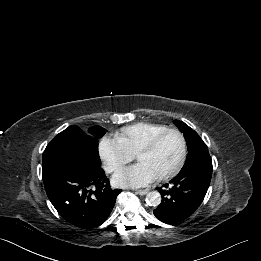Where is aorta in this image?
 <instances>
[{
  "mask_svg": "<svg viewBox=\"0 0 261 261\" xmlns=\"http://www.w3.org/2000/svg\"><path fill=\"white\" fill-rule=\"evenodd\" d=\"M146 203L150 206H158L161 203V195L158 191H151L146 195Z\"/></svg>",
  "mask_w": 261,
  "mask_h": 261,
  "instance_id": "762f6f07",
  "label": "aorta"
}]
</instances>
